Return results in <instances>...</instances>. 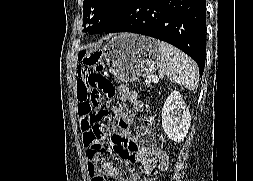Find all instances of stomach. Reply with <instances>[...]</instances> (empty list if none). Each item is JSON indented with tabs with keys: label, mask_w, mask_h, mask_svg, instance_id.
<instances>
[{
	"label": "stomach",
	"mask_w": 253,
	"mask_h": 181,
	"mask_svg": "<svg viewBox=\"0 0 253 181\" xmlns=\"http://www.w3.org/2000/svg\"><path fill=\"white\" fill-rule=\"evenodd\" d=\"M103 50L110 73L126 83L154 73L161 59L158 40L130 33L116 35Z\"/></svg>",
	"instance_id": "1"
}]
</instances>
